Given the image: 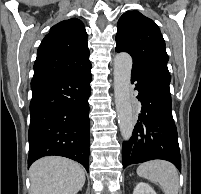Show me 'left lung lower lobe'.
I'll use <instances>...</instances> for the list:
<instances>
[{"instance_id":"1","label":"left lung lower lobe","mask_w":201,"mask_h":194,"mask_svg":"<svg viewBox=\"0 0 201 194\" xmlns=\"http://www.w3.org/2000/svg\"><path fill=\"white\" fill-rule=\"evenodd\" d=\"M141 110L129 141L123 143V168L153 159L172 162L181 170L177 129L172 117L170 80L159 74L131 72Z\"/></svg>"}]
</instances>
